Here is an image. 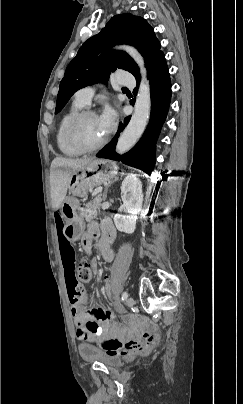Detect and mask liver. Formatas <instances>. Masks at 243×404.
Returning <instances> with one entry per match:
<instances>
[{
  "label": "liver",
  "mask_w": 243,
  "mask_h": 404,
  "mask_svg": "<svg viewBox=\"0 0 243 404\" xmlns=\"http://www.w3.org/2000/svg\"><path fill=\"white\" fill-rule=\"evenodd\" d=\"M94 158H54L50 166L51 206L59 210L68 190L72 170L90 164Z\"/></svg>",
  "instance_id": "6515ba94"
}]
</instances>
